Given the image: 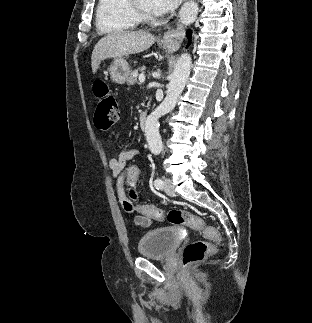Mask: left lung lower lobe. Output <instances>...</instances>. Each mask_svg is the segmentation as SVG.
I'll use <instances>...</instances> for the list:
<instances>
[{"label": "left lung lower lobe", "mask_w": 312, "mask_h": 323, "mask_svg": "<svg viewBox=\"0 0 312 323\" xmlns=\"http://www.w3.org/2000/svg\"><path fill=\"white\" fill-rule=\"evenodd\" d=\"M187 37L189 38V42H190L191 37H192V32L190 30L187 31Z\"/></svg>", "instance_id": "left-lung-lower-lobe-1"}]
</instances>
